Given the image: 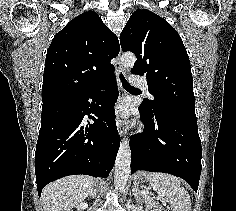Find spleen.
<instances>
[{
  "label": "spleen",
  "instance_id": "3e777b00",
  "mask_svg": "<svg viewBox=\"0 0 236 211\" xmlns=\"http://www.w3.org/2000/svg\"><path fill=\"white\" fill-rule=\"evenodd\" d=\"M147 180L154 190L165 201L171 204L172 211H190L191 200L185 188L180 186V180L165 173L152 172L147 174Z\"/></svg>",
  "mask_w": 236,
  "mask_h": 211
}]
</instances>
